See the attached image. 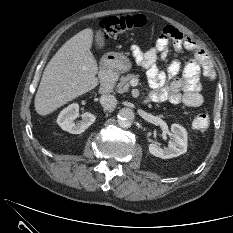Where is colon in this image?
Wrapping results in <instances>:
<instances>
[{"mask_svg":"<svg viewBox=\"0 0 233 233\" xmlns=\"http://www.w3.org/2000/svg\"><path fill=\"white\" fill-rule=\"evenodd\" d=\"M146 19L142 15L109 16L102 19L99 26L102 32L109 37H116L125 32L139 29L145 25ZM210 125L207 113H199L192 122L193 128L200 133L205 132Z\"/></svg>","mask_w":233,"mask_h":233,"instance_id":"colon-1","label":"colon"}]
</instances>
